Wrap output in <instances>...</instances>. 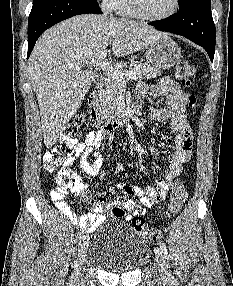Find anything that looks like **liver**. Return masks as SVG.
<instances>
[{"label": "liver", "mask_w": 233, "mask_h": 286, "mask_svg": "<svg viewBox=\"0 0 233 286\" xmlns=\"http://www.w3.org/2000/svg\"><path fill=\"white\" fill-rule=\"evenodd\" d=\"M167 33L126 19L83 14L48 29L28 60V75L36 93L44 137L51 148L80 108L94 80L85 69L112 45L115 56H125L167 37Z\"/></svg>", "instance_id": "6515ba94"}]
</instances>
